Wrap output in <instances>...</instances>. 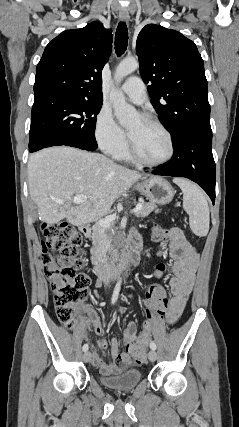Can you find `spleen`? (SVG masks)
Returning <instances> with one entry per match:
<instances>
[{
    "label": "spleen",
    "instance_id": "3e777b00",
    "mask_svg": "<svg viewBox=\"0 0 239 427\" xmlns=\"http://www.w3.org/2000/svg\"><path fill=\"white\" fill-rule=\"evenodd\" d=\"M173 182L183 192V208L189 215L192 232L199 237L206 236L209 231L210 213L203 192L195 184L186 179L175 178Z\"/></svg>",
    "mask_w": 239,
    "mask_h": 427
}]
</instances>
